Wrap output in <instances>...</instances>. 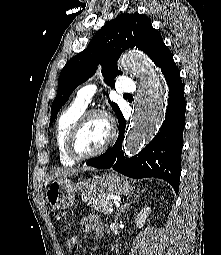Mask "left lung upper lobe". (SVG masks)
<instances>
[{
  "label": "left lung upper lobe",
  "instance_id": "left-lung-upper-lobe-1",
  "mask_svg": "<svg viewBox=\"0 0 221 255\" xmlns=\"http://www.w3.org/2000/svg\"><path fill=\"white\" fill-rule=\"evenodd\" d=\"M164 46L160 33L152 27L150 19L144 14H120L109 21L96 33L87 48L62 69L57 96L52 103L50 124L73 90L93 76L98 63L104 62L102 71L105 82L111 84L113 78L120 74L117 60L124 50L138 48L155 63ZM109 103L117 117L121 116L118 105L111 101Z\"/></svg>",
  "mask_w": 221,
  "mask_h": 255
}]
</instances>
